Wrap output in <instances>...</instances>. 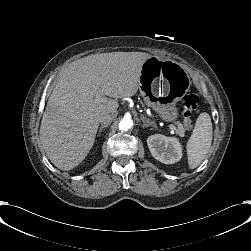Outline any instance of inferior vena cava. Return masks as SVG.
I'll list each match as a JSON object with an SVG mask.
<instances>
[{
  "mask_svg": "<svg viewBox=\"0 0 251 251\" xmlns=\"http://www.w3.org/2000/svg\"><path fill=\"white\" fill-rule=\"evenodd\" d=\"M113 118L111 116H104L100 119V122L104 125H108L112 122Z\"/></svg>",
  "mask_w": 251,
  "mask_h": 251,
  "instance_id": "obj_1",
  "label": "inferior vena cava"
}]
</instances>
